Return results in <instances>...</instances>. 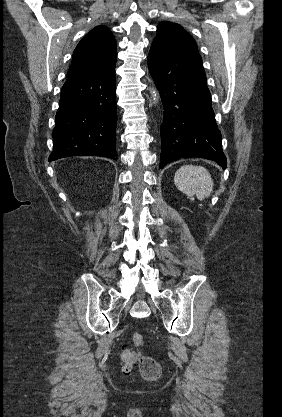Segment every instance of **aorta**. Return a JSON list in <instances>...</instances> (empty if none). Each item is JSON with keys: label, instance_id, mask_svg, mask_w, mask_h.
Wrapping results in <instances>:
<instances>
[{"label": "aorta", "instance_id": "obj_1", "mask_svg": "<svg viewBox=\"0 0 282 417\" xmlns=\"http://www.w3.org/2000/svg\"><path fill=\"white\" fill-rule=\"evenodd\" d=\"M150 82H153V80H150ZM150 94L151 98L153 100V104H158L160 98H159V92L157 88H155L154 84L153 86H150Z\"/></svg>", "mask_w": 282, "mask_h": 417}]
</instances>
